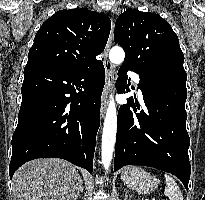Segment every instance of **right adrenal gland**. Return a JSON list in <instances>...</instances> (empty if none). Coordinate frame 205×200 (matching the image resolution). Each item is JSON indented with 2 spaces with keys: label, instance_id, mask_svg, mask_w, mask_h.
Instances as JSON below:
<instances>
[{
  "label": "right adrenal gland",
  "instance_id": "1",
  "mask_svg": "<svg viewBox=\"0 0 205 200\" xmlns=\"http://www.w3.org/2000/svg\"><path fill=\"white\" fill-rule=\"evenodd\" d=\"M83 190H84L83 181H82V179H80V181H79V190H78L77 195H76L74 200H77V198L80 196V193H82Z\"/></svg>",
  "mask_w": 205,
  "mask_h": 200
}]
</instances>
